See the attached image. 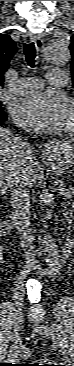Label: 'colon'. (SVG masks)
<instances>
[{
	"mask_svg": "<svg viewBox=\"0 0 74 366\" xmlns=\"http://www.w3.org/2000/svg\"><path fill=\"white\" fill-rule=\"evenodd\" d=\"M26 366H51V365L46 363L45 361H36L35 363L27 364Z\"/></svg>",
	"mask_w": 74,
	"mask_h": 366,
	"instance_id": "1",
	"label": "colon"
}]
</instances>
